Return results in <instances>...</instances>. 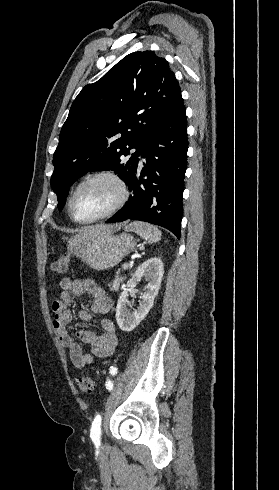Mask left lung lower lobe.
<instances>
[{"label": "left lung lower lobe", "mask_w": 279, "mask_h": 490, "mask_svg": "<svg viewBox=\"0 0 279 490\" xmlns=\"http://www.w3.org/2000/svg\"><path fill=\"white\" fill-rule=\"evenodd\" d=\"M187 149V118L181 99L151 130L141 152L146 163L141 168L139 159L128 181L131 195L106 223L145 221L180 239Z\"/></svg>", "instance_id": "left-lung-lower-lobe-1"}]
</instances>
